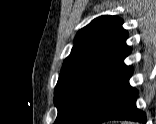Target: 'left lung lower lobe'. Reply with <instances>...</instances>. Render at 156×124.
Masks as SVG:
<instances>
[{
  "mask_svg": "<svg viewBox=\"0 0 156 124\" xmlns=\"http://www.w3.org/2000/svg\"><path fill=\"white\" fill-rule=\"evenodd\" d=\"M133 68L123 62L92 100L78 124H99L109 120L146 123V115L136 107L138 91L129 85Z\"/></svg>",
  "mask_w": 156,
  "mask_h": 124,
  "instance_id": "1",
  "label": "left lung lower lobe"
}]
</instances>
